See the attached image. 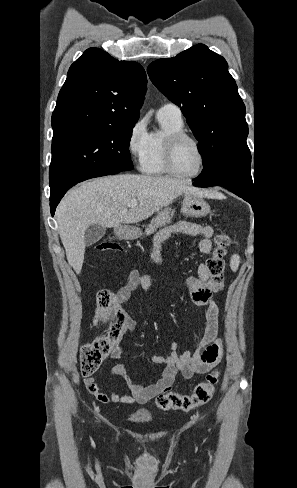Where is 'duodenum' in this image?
Segmentation results:
<instances>
[{
  "label": "duodenum",
  "instance_id": "duodenum-1",
  "mask_svg": "<svg viewBox=\"0 0 297 488\" xmlns=\"http://www.w3.org/2000/svg\"><path fill=\"white\" fill-rule=\"evenodd\" d=\"M119 235H120V237H122V238H126V236H127V231H126L125 229L121 228V229H119Z\"/></svg>",
  "mask_w": 297,
  "mask_h": 488
}]
</instances>
